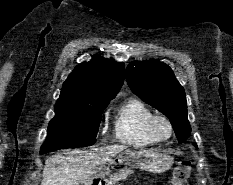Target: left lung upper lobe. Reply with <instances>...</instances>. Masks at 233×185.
<instances>
[{"instance_id":"5c2ea615","label":"left lung upper lobe","mask_w":233,"mask_h":185,"mask_svg":"<svg viewBox=\"0 0 233 185\" xmlns=\"http://www.w3.org/2000/svg\"><path fill=\"white\" fill-rule=\"evenodd\" d=\"M126 79L133 93L169 118L179 143L185 142L191 132L186 96L171 68L158 60L133 61Z\"/></svg>"}]
</instances>
